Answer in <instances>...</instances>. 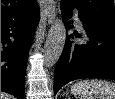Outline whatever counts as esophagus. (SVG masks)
<instances>
[{
  "mask_svg": "<svg viewBox=\"0 0 115 99\" xmlns=\"http://www.w3.org/2000/svg\"><path fill=\"white\" fill-rule=\"evenodd\" d=\"M44 21L52 24L55 18V2L53 0H42Z\"/></svg>",
  "mask_w": 115,
  "mask_h": 99,
  "instance_id": "1",
  "label": "esophagus"
}]
</instances>
